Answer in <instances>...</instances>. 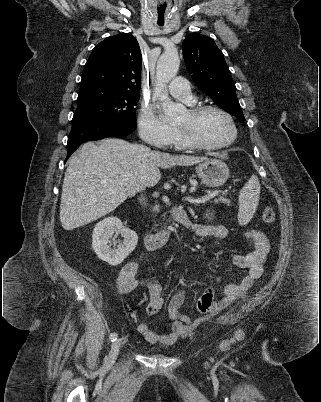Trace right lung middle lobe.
Listing matches in <instances>:
<instances>
[{
    "label": "right lung middle lobe",
    "instance_id": "obj_1",
    "mask_svg": "<svg viewBox=\"0 0 321 402\" xmlns=\"http://www.w3.org/2000/svg\"><path fill=\"white\" fill-rule=\"evenodd\" d=\"M140 94L101 87H82L72 122L82 120L124 121L135 124Z\"/></svg>",
    "mask_w": 321,
    "mask_h": 402
}]
</instances>
